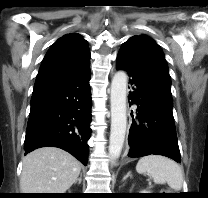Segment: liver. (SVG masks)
I'll use <instances>...</instances> for the list:
<instances>
[{
	"label": "liver",
	"mask_w": 208,
	"mask_h": 198,
	"mask_svg": "<svg viewBox=\"0 0 208 198\" xmlns=\"http://www.w3.org/2000/svg\"><path fill=\"white\" fill-rule=\"evenodd\" d=\"M81 165L68 152L43 147L23 159L22 193H65L77 180Z\"/></svg>",
	"instance_id": "obj_1"
}]
</instances>
